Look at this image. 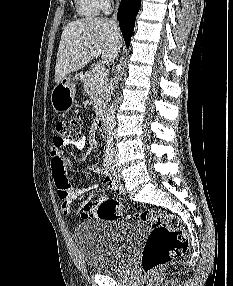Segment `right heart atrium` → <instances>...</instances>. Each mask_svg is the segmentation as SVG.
I'll list each match as a JSON object with an SVG mask.
<instances>
[{"mask_svg": "<svg viewBox=\"0 0 233 286\" xmlns=\"http://www.w3.org/2000/svg\"><path fill=\"white\" fill-rule=\"evenodd\" d=\"M102 9H108L110 6V0H99Z\"/></svg>", "mask_w": 233, "mask_h": 286, "instance_id": "obj_1", "label": "right heart atrium"}]
</instances>
